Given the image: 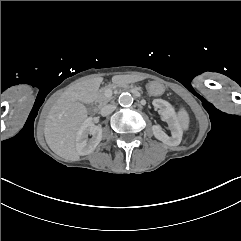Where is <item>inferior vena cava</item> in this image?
<instances>
[{
  "mask_svg": "<svg viewBox=\"0 0 241 241\" xmlns=\"http://www.w3.org/2000/svg\"><path fill=\"white\" fill-rule=\"evenodd\" d=\"M115 109H116V105H114V104L105 105L101 108V115L107 116V115L111 114L113 111H115Z\"/></svg>",
  "mask_w": 241,
  "mask_h": 241,
  "instance_id": "602c4592",
  "label": "inferior vena cava"
}]
</instances>
